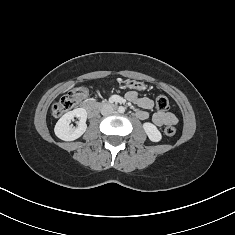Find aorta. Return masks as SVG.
<instances>
[{
    "label": "aorta",
    "mask_w": 235,
    "mask_h": 235,
    "mask_svg": "<svg viewBox=\"0 0 235 235\" xmlns=\"http://www.w3.org/2000/svg\"><path fill=\"white\" fill-rule=\"evenodd\" d=\"M118 112H119V113H124V112H125V108H124L123 106H120V107L118 108Z\"/></svg>",
    "instance_id": "obj_1"
}]
</instances>
